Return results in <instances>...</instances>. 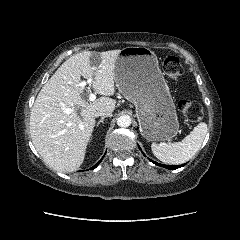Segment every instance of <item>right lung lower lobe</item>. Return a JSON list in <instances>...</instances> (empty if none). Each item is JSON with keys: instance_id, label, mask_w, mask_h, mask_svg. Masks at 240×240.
<instances>
[{"instance_id": "1", "label": "right lung lower lobe", "mask_w": 240, "mask_h": 240, "mask_svg": "<svg viewBox=\"0 0 240 240\" xmlns=\"http://www.w3.org/2000/svg\"><path fill=\"white\" fill-rule=\"evenodd\" d=\"M102 159H103V158H102ZM102 159H101L98 163H96L91 169L96 168V167L99 165V163L102 161Z\"/></svg>"}]
</instances>
